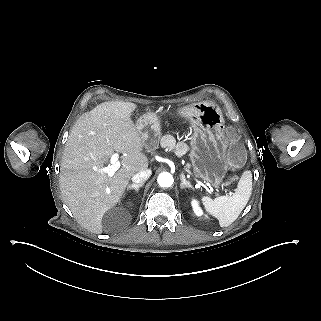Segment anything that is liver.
Instances as JSON below:
<instances>
[{
	"mask_svg": "<svg viewBox=\"0 0 321 321\" xmlns=\"http://www.w3.org/2000/svg\"><path fill=\"white\" fill-rule=\"evenodd\" d=\"M137 105L109 101L82 114L73 126L61 162L62 199L77 222L102 233V218L123 195L130 178L148 168L143 142L131 120ZM114 151L126 154L112 177L100 172Z\"/></svg>",
	"mask_w": 321,
	"mask_h": 321,
	"instance_id": "obj_1",
	"label": "liver"
}]
</instances>
